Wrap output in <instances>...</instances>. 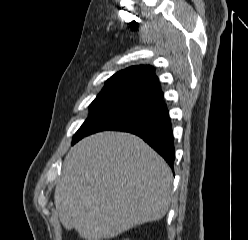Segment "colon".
Returning <instances> with one entry per match:
<instances>
[{
	"label": "colon",
	"mask_w": 248,
	"mask_h": 240,
	"mask_svg": "<svg viewBox=\"0 0 248 240\" xmlns=\"http://www.w3.org/2000/svg\"><path fill=\"white\" fill-rule=\"evenodd\" d=\"M122 240H129L128 238H124V239H122Z\"/></svg>",
	"instance_id": "1"
}]
</instances>
